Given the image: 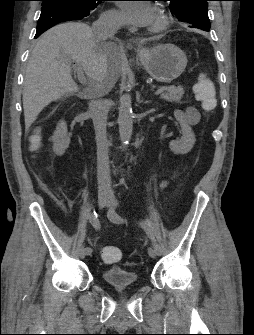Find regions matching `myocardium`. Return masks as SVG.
I'll return each mask as SVG.
<instances>
[{
  "label": "myocardium",
  "instance_id": "myocardium-1",
  "mask_svg": "<svg viewBox=\"0 0 254 335\" xmlns=\"http://www.w3.org/2000/svg\"><path fill=\"white\" fill-rule=\"evenodd\" d=\"M168 24H169L168 19L163 15H159L156 18V22L153 26V31L155 32L163 31L168 27Z\"/></svg>",
  "mask_w": 254,
  "mask_h": 335
}]
</instances>
